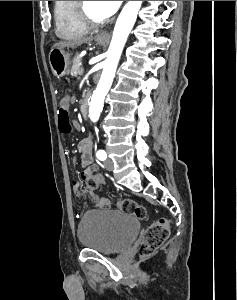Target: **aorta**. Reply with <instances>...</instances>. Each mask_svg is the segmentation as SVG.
Here are the masks:
<instances>
[{
    "label": "aorta",
    "instance_id": "obj_1",
    "mask_svg": "<svg viewBox=\"0 0 237 300\" xmlns=\"http://www.w3.org/2000/svg\"><path fill=\"white\" fill-rule=\"evenodd\" d=\"M141 5L142 1H129V3L123 7L116 21L101 79L97 85L96 91H94L92 95L91 103L89 105V119H91L93 123H96L100 117L104 99L112 85L124 45L135 25Z\"/></svg>",
    "mask_w": 237,
    "mask_h": 300
}]
</instances>
